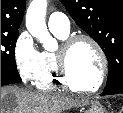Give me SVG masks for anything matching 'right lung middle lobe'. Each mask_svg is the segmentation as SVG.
<instances>
[{
    "instance_id": "dd1d6c3e",
    "label": "right lung middle lobe",
    "mask_w": 123,
    "mask_h": 113,
    "mask_svg": "<svg viewBox=\"0 0 123 113\" xmlns=\"http://www.w3.org/2000/svg\"><path fill=\"white\" fill-rule=\"evenodd\" d=\"M18 32L1 34V86L21 82L15 62Z\"/></svg>"
}]
</instances>
